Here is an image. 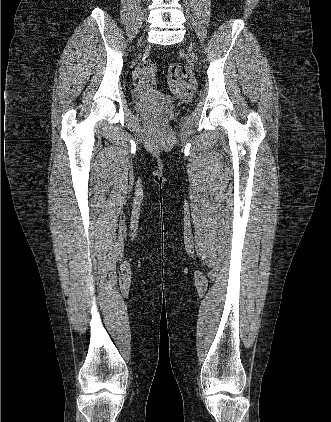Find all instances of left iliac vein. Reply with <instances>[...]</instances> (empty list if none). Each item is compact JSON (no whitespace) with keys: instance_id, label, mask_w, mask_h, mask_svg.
<instances>
[{"instance_id":"obj_1","label":"left iliac vein","mask_w":331,"mask_h":422,"mask_svg":"<svg viewBox=\"0 0 331 422\" xmlns=\"http://www.w3.org/2000/svg\"><path fill=\"white\" fill-rule=\"evenodd\" d=\"M189 54H190L191 58H192L193 60H195V55H194V53H193L191 50H189Z\"/></svg>"}]
</instances>
